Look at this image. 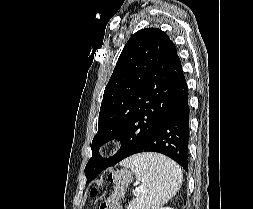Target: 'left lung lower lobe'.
I'll return each instance as SVG.
<instances>
[{"label":"left lung lower lobe","mask_w":253,"mask_h":209,"mask_svg":"<svg viewBox=\"0 0 253 209\" xmlns=\"http://www.w3.org/2000/svg\"><path fill=\"white\" fill-rule=\"evenodd\" d=\"M189 132L188 87L182 75L170 108L136 153L164 154L188 171Z\"/></svg>","instance_id":"left-lung-lower-lobe-1"}]
</instances>
